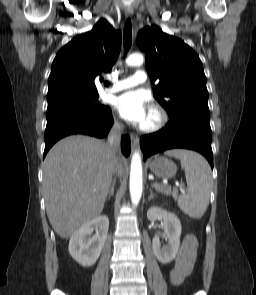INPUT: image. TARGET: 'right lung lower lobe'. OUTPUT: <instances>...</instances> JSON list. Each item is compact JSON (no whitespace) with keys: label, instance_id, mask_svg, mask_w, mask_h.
Segmentation results:
<instances>
[{"label":"right lung lower lobe","instance_id":"obj_1","mask_svg":"<svg viewBox=\"0 0 256 295\" xmlns=\"http://www.w3.org/2000/svg\"><path fill=\"white\" fill-rule=\"evenodd\" d=\"M45 150L43 157L59 139L71 134H87L99 138L105 137L113 125L109 107L91 111L77 107H49L46 113ZM122 152L130 154V137L122 136Z\"/></svg>","mask_w":256,"mask_h":295}]
</instances>
